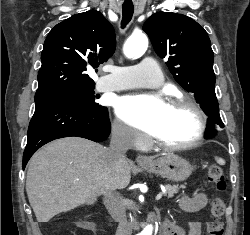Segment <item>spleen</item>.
<instances>
[{
    "mask_svg": "<svg viewBox=\"0 0 250 235\" xmlns=\"http://www.w3.org/2000/svg\"><path fill=\"white\" fill-rule=\"evenodd\" d=\"M216 161L220 164V165H224L225 161L221 158H216Z\"/></svg>",
    "mask_w": 250,
    "mask_h": 235,
    "instance_id": "obj_1",
    "label": "spleen"
}]
</instances>
